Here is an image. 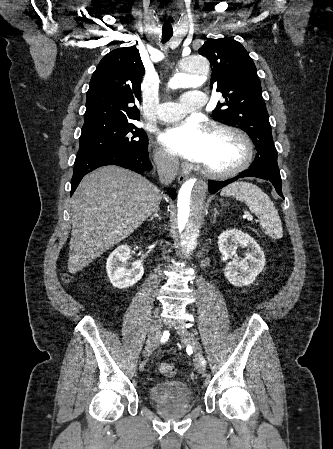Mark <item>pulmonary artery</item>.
I'll return each mask as SVG.
<instances>
[{
  "mask_svg": "<svg viewBox=\"0 0 333 449\" xmlns=\"http://www.w3.org/2000/svg\"><path fill=\"white\" fill-rule=\"evenodd\" d=\"M205 99V94L199 90L187 91L181 96L180 102L161 103L156 110L157 117L167 122L179 120L188 111L200 109Z\"/></svg>",
  "mask_w": 333,
  "mask_h": 449,
  "instance_id": "obj_1",
  "label": "pulmonary artery"
}]
</instances>
